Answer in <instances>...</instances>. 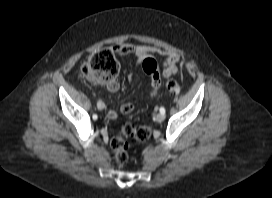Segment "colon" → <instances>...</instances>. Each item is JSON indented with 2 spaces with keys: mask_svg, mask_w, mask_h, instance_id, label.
Returning <instances> with one entry per match:
<instances>
[{
  "mask_svg": "<svg viewBox=\"0 0 272 198\" xmlns=\"http://www.w3.org/2000/svg\"><path fill=\"white\" fill-rule=\"evenodd\" d=\"M119 62L111 49H102L90 56L81 66L79 76L82 80L94 84H108L113 81L119 72ZM143 70L149 75L157 71V63L153 59L143 62ZM166 89L173 94L180 91V86L174 80L166 83ZM151 129L148 126H135L130 122L122 125L120 133L111 139L110 146L113 158L118 166L128 161V144L126 138L145 141L149 139Z\"/></svg>",
  "mask_w": 272,
  "mask_h": 198,
  "instance_id": "obj_1",
  "label": "colon"
}]
</instances>
